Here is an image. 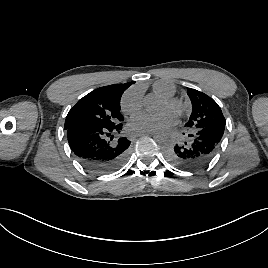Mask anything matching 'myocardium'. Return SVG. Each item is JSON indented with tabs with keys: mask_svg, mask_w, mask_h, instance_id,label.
<instances>
[{
	"mask_svg": "<svg viewBox=\"0 0 268 268\" xmlns=\"http://www.w3.org/2000/svg\"><path fill=\"white\" fill-rule=\"evenodd\" d=\"M164 101L168 107L177 115L181 116L186 112V104L179 98L169 97L165 98Z\"/></svg>",
	"mask_w": 268,
	"mask_h": 268,
	"instance_id": "myocardium-1",
	"label": "myocardium"
}]
</instances>
